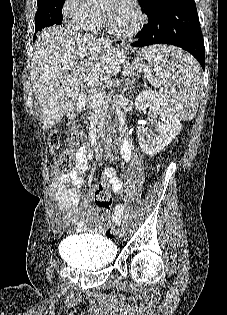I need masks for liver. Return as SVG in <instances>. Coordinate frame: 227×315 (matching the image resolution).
I'll return each instance as SVG.
<instances>
[{
    "label": "liver",
    "mask_w": 227,
    "mask_h": 315,
    "mask_svg": "<svg viewBox=\"0 0 227 315\" xmlns=\"http://www.w3.org/2000/svg\"><path fill=\"white\" fill-rule=\"evenodd\" d=\"M172 48L193 59L183 50ZM122 58L121 51L103 39L63 26L41 31L34 44L30 77L41 108L43 130L75 110L87 78L117 71Z\"/></svg>",
    "instance_id": "1"
}]
</instances>
